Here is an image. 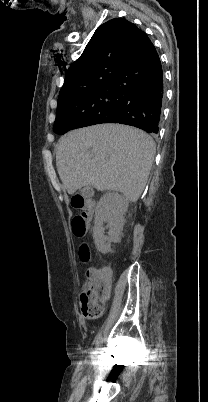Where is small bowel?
<instances>
[{
	"mask_svg": "<svg viewBox=\"0 0 208 402\" xmlns=\"http://www.w3.org/2000/svg\"><path fill=\"white\" fill-rule=\"evenodd\" d=\"M96 296L104 298V299H106V297H109V295H96ZM89 321H90V323L95 324V323H97L98 318H97V316L92 315V316H90Z\"/></svg>",
	"mask_w": 208,
	"mask_h": 402,
	"instance_id": "small-bowel-1",
	"label": "small bowel"
}]
</instances>
